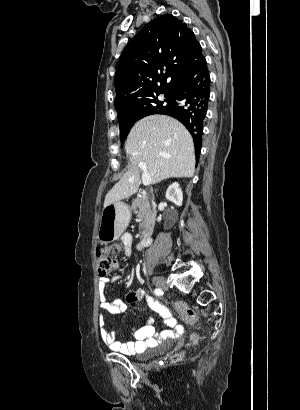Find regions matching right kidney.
I'll return each instance as SVG.
<instances>
[{
    "label": "right kidney",
    "instance_id": "obj_1",
    "mask_svg": "<svg viewBox=\"0 0 300 410\" xmlns=\"http://www.w3.org/2000/svg\"><path fill=\"white\" fill-rule=\"evenodd\" d=\"M166 199L174 203L176 206H182L183 193L177 182L172 183L166 191Z\"/></svg>",
    "mask_w": 300,
    "mask_h": 410
}]
</instances>
